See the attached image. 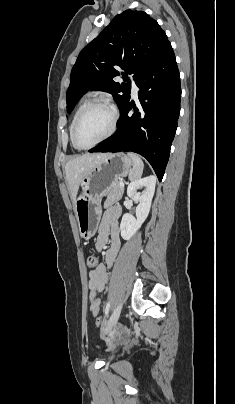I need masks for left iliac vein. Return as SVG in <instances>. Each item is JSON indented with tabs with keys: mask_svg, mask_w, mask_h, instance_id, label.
<instances>
[{
	"mask_svg": "<svg viewBox=\"0 0 235 404\" xmlns=\"http://www.w3.org/2000/svg\"><path fill=\"white\" fill-rule=\"evenodd\" d=\"M121 309H122V304L120 303L115 310L113 311L112 315L110 316V318L108 319L107 323H106V327L103 330V335L108 334L112 328L115 326V324L118 321L119 315L121 313Z\"/></svg>",
	"mask_w": 235,
	"mask_h": 404,
	"instance_id": "obj_1",
	"label": "left iliac vein"
}]
</instances>
